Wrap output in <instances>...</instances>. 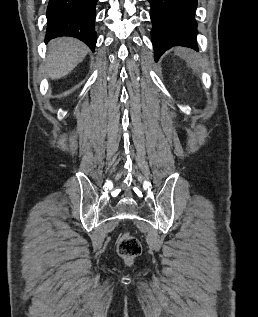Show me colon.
Instances as JSON below:
<instances>
[{"label": "colon", "instance_id": "colon-1", "mask_svg": "<svg viewBox=\"0 0 258 317\" xmlns=\"http://www.w3.org/2000/svg\"><path fill=\"white\" fill-rule=\"evenodd\" d=\"M141 249L139 240L128 233L123 234L117 243L118 254L126 260L139 256Z\"/></svg>", "mask_w": 258, "mask_h": 317}]
</instances>
